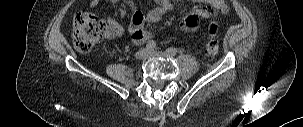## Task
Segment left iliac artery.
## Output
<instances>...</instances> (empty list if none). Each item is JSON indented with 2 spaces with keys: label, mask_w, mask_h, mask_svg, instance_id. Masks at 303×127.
<instances>
[{
  "label": "left iliac artery",
  "mask_w": 303,
  "mask_h": 127,
  "mask_svg": "<svg viewBox=\"0 0 303 127\" xmlns=\"http://www.w3.org/2000/svg\"><path fill=\"white\" fill-rule=\"evenodd\" d=\"M177 52H178V50H177L176 48H173V47L168 48V49L166 50V53H167L168 55H170V56L176 55Z\"/></svg>",
  "instance_id": "left-iliac-artery-1"
}]
</instances>
